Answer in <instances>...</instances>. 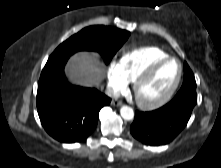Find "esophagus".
I'll use <instances>...</instances> for the list:
<instances>
[{
    "instance_id": "1",
    "label": "esophagus",
    "mask_w": 221,
    "mask_h": 168,
    "mask_svg": "<svg viewBox=\"0 0 221 168\" xmlns=\"http://www.w3.org/2000/svg\"><path fill=\"white\" fill-rule=\"evenodd\" d=\"M111 105L112 106H122V102L121 101H117V100H112Z\"/></svg>"
}]
</instances>
